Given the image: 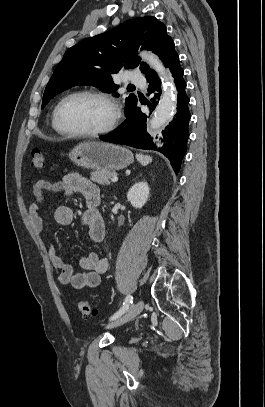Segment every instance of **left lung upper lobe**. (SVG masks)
I'll return each instance as SVG.
<instances>
[{"label": "left lung upper lobe", "mask_w": 265, "mask_h": 407, "mask_svg": "<svg viewBox=\"0 0 265 407\" xmlns=\"http://www.w3.org/2000/svg\"><path fill=\"white\" fill-rule=\"evenodd\" d=\"M151 50L159 55L169 69L179 60L174 41L163 23L155 17L145 16L124 22L114 29L85 39L69 48L57 65L44 91L42 108L51 98L75 85H92L119 96V88L111 74L122 68L140 64L137 49ZM140 70L146 77L156 75L145 63ZM157 76V75H156ZM126 116L137 105V97L126 98Z\"/></svg>", "instance_id": "left-lung-upper-lobe-1"}]
</instances>
